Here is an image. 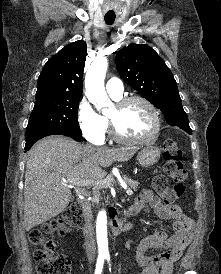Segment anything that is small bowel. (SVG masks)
<instances>
[{"mask_svg": "<svg viewBox=\"0 0 221 274\" xmlns=\"http://www.w3.org/2000/svg\"><path fill=\"white\" fill-rule=\"evenodd\" d=\"M146 203L151 205L158 218L173 221L174 234L169 236L164 229H160L140 242L136 252L137 264L142 267L140 274H172L174 263L193 238V221L178 205L164 203L149 189H143L135 199L133 212L141 211ZM150 249L160 252L150 255L147 253Z\"/></svg>", "mask_w": 221, "mask_h": 274, "instance_id": "small-bowel-1", "label": "small bowel"}]
</instances>
